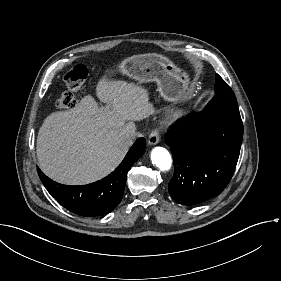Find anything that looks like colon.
<instances>
[{"label":"colon","instance_id":"colon-1","mask_svg":"<svg viewBox=\"0 0 281 281\" xmlns=\"http://www.w3.org/2000/svg\"><path fill=\"white\" fill-rule=\"evenodd\" d=\"M88 74V68L84 64H77L65 72L63 82L69 90L62 92L57 99L60 111L71 110L76 106V98L72 90L80 88Z\"/></svg>","mask_w":281,"mask_h":281}]
</instances>
